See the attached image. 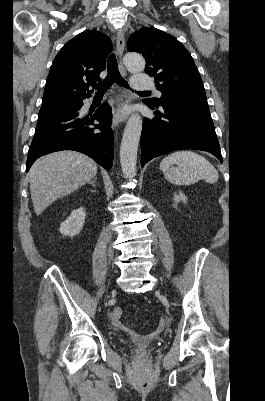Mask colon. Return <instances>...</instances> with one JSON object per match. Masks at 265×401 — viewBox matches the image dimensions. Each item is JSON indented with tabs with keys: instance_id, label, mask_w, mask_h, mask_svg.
<instances>
[{
	"instance_id": "colon-1",
	"label": "colon",
	"mask_w": 265,
	"mask_h": 401,
	"mask_svg": "<svg viewBox=\"0 0 265 401\" xmlns=\"http://www.w3.org/2000/svg\"><path fill=\"white\" fill-rule=\"evenodd\" d=\"M122 315H123V310H122L121 308H116V309L113 311L112 319H113V321H114V323H115L116 325H119V326H120L119 320L121 319Z\"/></svg>"
}]
</instances>
